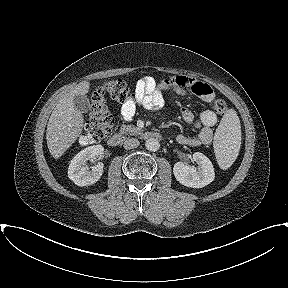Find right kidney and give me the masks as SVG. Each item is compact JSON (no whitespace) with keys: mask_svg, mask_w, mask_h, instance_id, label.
<instances>
[{"mask_svg":"<svg viewBox=\"0 0 288 288\" xmlns=\"http://www.w3.org/2000/svg\"><path fill=\"white\" fill-rule=\"evenodd\" d=\"M104 148L101 145L89 146L80 151L72 160L68 168V177L77 186H88L96 183L103 174V163L98 162L89 170L88 160L103 156Z\"/></svg>","mask_w":288,"mask_h":288,"instance_id":"obj_1","label":"right kidney"}]
</instances>
